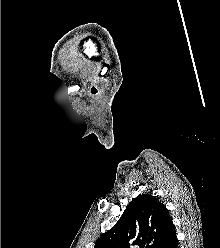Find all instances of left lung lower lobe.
Returning a JSON list of instances; mask_svg holds the SVG:
<instances>
[{"instance_id":"left-lung-lower-lobe-1","label":"left lung lower lobe","mask_w":220,"mask_h":248,"mask_svg":"<svg viewBox=\"0 0 220 248\" xmlns=\"http://www.w3.org/2000/svg\"><path fill=\"white\" fill-rule=\"evenodd\" d=\"M159 248H178V240L176 238L175 227L171 228L168 236Z\"/></svg>"}]
</instances>
